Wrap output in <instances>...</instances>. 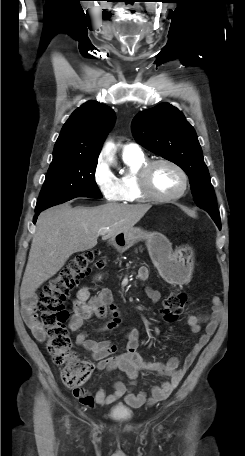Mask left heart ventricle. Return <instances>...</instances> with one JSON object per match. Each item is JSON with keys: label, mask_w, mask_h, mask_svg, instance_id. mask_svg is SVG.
Here are the masks:
<instances>
[{"label": "left heart ventricle", "mask_w": 245, "mask_h": 456, "mask_svg": "<svg viewBox=\"0 0 245 456\" xmlns=\"http://www.w3.org/2000/svg\"><path fill=\"white\" fill-rule=\"evenodd\" d=\"M151 183L154 191L163 196L177 193L182 186L179 173L166 164H159L153 169Z\"/></svg>", "instance_id": "obj_1"}]
</instances>
